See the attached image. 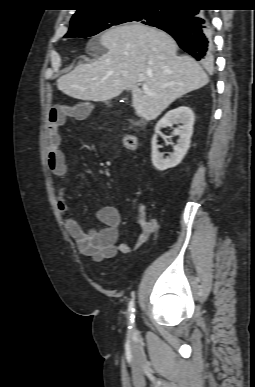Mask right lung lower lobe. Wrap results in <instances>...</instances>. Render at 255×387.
<instances>
[{"mask_svg":"<svg viewBox=\"0 0 255 387\" xmlns=\"http://www.w3.org/2000/svg\"><path fill=\"white\" fill-rule=\"evenodd\" d=\"M198 4L177 6L169 22L158 28L169 33L179 47L197 61L213 62L212 28L208 14Z\"/></svg>","mask_w":255,"mask_h":387,"instance_id":"right-lung-lower-lobe-1","label":"right lung lower lobe"}]
</instances>
